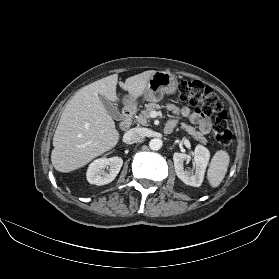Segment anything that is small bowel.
I'll use <instances>...</instances> for the list:
<instances>
[{
	"mask_svg": "<svg viewBox=\"0 0 279 279\" xmlns=\"http://www.w3.org/2000/svg\"><path fill=\"white\" fill-rule=\"evenodd\" d=\"M167 109L171 111L174 115V118H172L166 126L167 130H171L177 123L178 119L183 117L189 119L192 123L198 125L200 131L203 134H207L211 130V122L201 117L199 113L192 112L188 107H182L178 108L173 104H169L167 106Z\"/></svg>",
	"mask_w": 279,
	"mask_h": 279,
	"instance_id": "1",
	"label": "small bowel"
}]
</instances>
